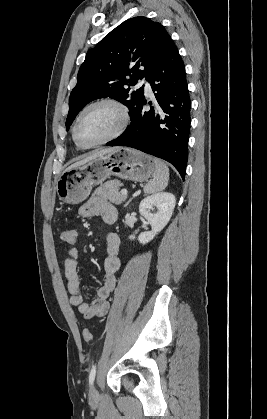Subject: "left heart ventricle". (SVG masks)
<instances>
[{"label": "left heart ventricle", "instance_id": "1", "mask_svg": "<svg viewBox=\"0 0 267 419\" xmlns=\"http://www.w3.org/2000/svg\"><path fill=\"white\" fill-rule=\"evenodd\" d=\"M120 122L118 111L110 105L95 106L84 113L78 125V138L86 145L111 134Z\"/></svg>", "mask_w": 267, "mask_h": 419}]
</instances>
